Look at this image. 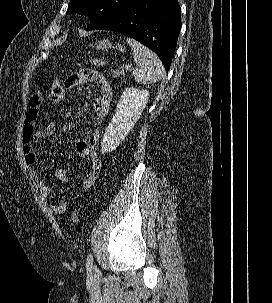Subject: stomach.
Segmentation results:
<instances>
[{
  "label": "stomach",
  "instance_id": "0dacf381",
  "mask_svg": "<svg viewBox=\"0 0 272 303\" xmlns=\"http://www.w3.org/2000/svg\"><path fill=\"white\" fill-rule=\"evenodd\" d=\"M95 47L96 49H99V50H108V49H117L121 52H124L125 51V47H123L122 45L120 44H117L116 46L112 45V43L108 40H101L99 41L98 43L95 44Z\"/></svg>",
  "mask_w": 272,
  "mask_h": 303
}]
</instances>
